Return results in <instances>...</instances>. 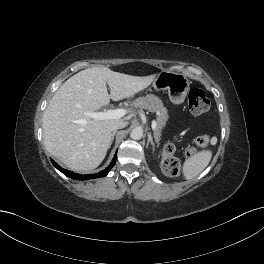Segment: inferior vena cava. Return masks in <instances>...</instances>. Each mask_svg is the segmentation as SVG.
<instances>
[{
  "instance_id": "602c4592",
  "label": "inferior vena cava",
  "mask_w": 264,
  "mask_h": 264,
  "mask_svg": "<svg viewBox=\"0 0 264 264\" xmlns=\"http://www.w3.org/2000/svg\"><path fill=\"white\" fill-rule=\"evenodd\" d=\"M127 122L126 121H120V122H117L115 123L113 126H112V130L115 131L117 129H121V128H124L127 126Z\"/></svg>"
}]
</instances>
